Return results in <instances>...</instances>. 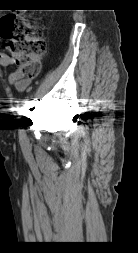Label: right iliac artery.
<instances>
[{"mask_svg": "<svg viewBox=\"0 0 138 253\" xmlns=\"http://www.w3.org/2000/svg\"><path fill=\"white\" fill-rule=\"evenodd\" d=\"M30 101H31V95H28V100L25 101V104L23 105V109L21 112V117H20L21 125H23L25 123L26 115H28V113L30 111ZM20 132L22 134V129H20Z\"/></svg>", "mask_w": 138, "mask_h": 253, "instance_id": "obj_1", "label": "right iliac artery"}]
</instances>
